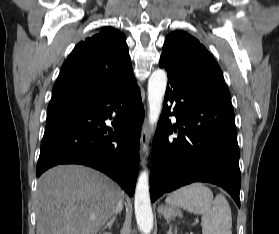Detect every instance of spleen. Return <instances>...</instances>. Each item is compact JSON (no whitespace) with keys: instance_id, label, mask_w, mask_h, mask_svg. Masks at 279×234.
Instances as JSON below:
<instances>
[{"instance_id":"obj_1","label":"spleen","mask_w":279,"mask_h":234,"mask_svg":"<svg viewBox=\"0 0 279 234\" xmlns=\"http://www.w3.org/2000/svg\"><path fill=\"white\" fill-rule=\"evenodd\" d=\"M165 201L201 214L203 234H232V215L227 199L222 194L213 199L212 191L202 183L182 187L169 194Z\"/></svg>"}]
</instances>
